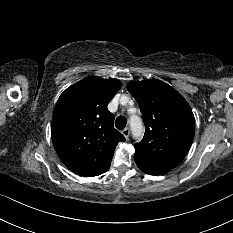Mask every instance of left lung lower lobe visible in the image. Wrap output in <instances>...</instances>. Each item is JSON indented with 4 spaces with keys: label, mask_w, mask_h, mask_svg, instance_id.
Here are the masks:
<instances>
[{
    "label": "left lung lower lobe",
    "mask_w": 233,
    "mask_h": 233,
    "mask_svg": "<svg viewBox=\"0 0 233 233\" xmlns=\"http://www.w3.org/2000/svg\"><path fill=\"white\" fill-rule=\"evenodd\" d=\"M134 160L139 167L140 170L143 172L150 174V175H161L169 172L172 168L161 165L154 161L145 159L138 154H134Z\"/></svg>",
    "instance_id": "0a47b994"
}]
</instances>
